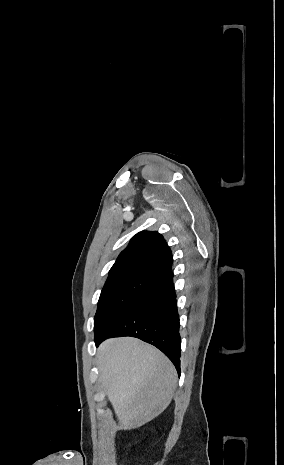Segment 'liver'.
Segmentation results:
<instances>
[{"instance_id":"6515ba94","label":"liver","mask_w":284,"mask_h":465,"mask_svg":"<svg viewBox=\"0 0 284 465\" xmlns=\"http://www.w3.org/2000/svg\"><path fill=\"white\" fill-rule=\"evenodd\" d=\"M100 381L119 421L117 431L137 429L161 415L176 389L169 359L139 339H109L97 349Z\"/></svg>"}]
</instances>
